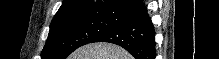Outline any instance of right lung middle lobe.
I'll return each instance as SVG.
<instances>
[{"instance_id": "right-lung-middle-lobe-1", "label": "right lung middle lobe", "mask_w": 219, "mask_h": 59, "mask_svg": "<svg viewBox=\"0 0 219 59\" xmlns=\"http://www.w3.org/2000/svg\"><path fill=\"white\" fill-rule=\"evenodd\" d=\"M124 16L112 10H91L52 20L41 59H65L77 48L93 43Z\"/></svg>"}]
</instances>
